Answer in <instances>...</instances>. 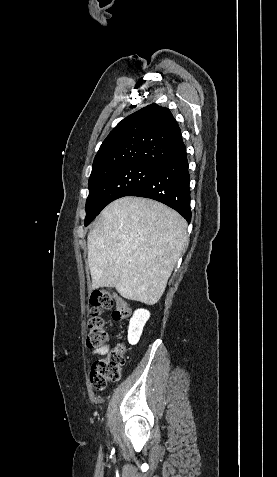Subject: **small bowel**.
Returning a JSON list of instances; mask_svg holds the SVG:
<instances>
[{
	"label": "small bowel",
	"mask_w": 277,
	"mask_h": 477,
	"mask_svg": "<svg viewBox=\"0 0 277 477\" xmlns=\"http://www.w3.org/2000/svg\"><path fill=\"white\" fill-rule=\"evenodd\" d=\"M109 351V345H105L99 348H95L92 352L93 355H106Z\"/></svg>",
	"instance_id": "obj_1"
}]
</instances>
